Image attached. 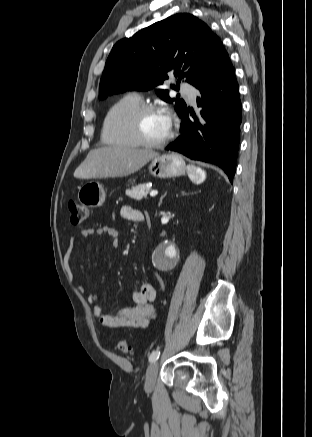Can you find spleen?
<instances>
[{
  "mask_svg": "<svg viewBox=\"0 0 312 437\" xmlns=\"http://www.w3.org/2000/svg\"><path fill=\"white\" fill-rule=\"evenodd\" d=\"M187 173L191 181L196 184L202 183L206 178V172L200 167H196L194 165H189L187 167Z\"/></svg>",
  "mask_w": 312,
  "mask_h": 437,
  "instance_id": "1",
  "label": "spleen"
}]
</instances>
